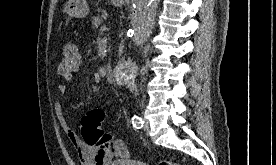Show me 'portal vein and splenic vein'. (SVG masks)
<instances>
[{
  "label": "portal vein and splenic vein",
  "mask_w": 276,
  "mask_h": 165,
  "mask_svg": "<svg viewBox=\"0 0 276 165\" xmlns=\"http://www.w3.org/2000/svg\"><path fill=\"white\" fill-rule=\"evenodd\" d=\"M107 30H108V27L105 25L100 28L101 32H106Z\"/></svg>",
  "instance_id": "1"
}]
</instances>
